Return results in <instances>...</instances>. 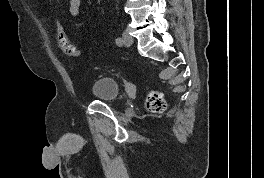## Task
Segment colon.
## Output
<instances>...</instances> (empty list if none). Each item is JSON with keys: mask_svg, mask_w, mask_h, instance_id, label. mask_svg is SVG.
I'll use <instances>...</instances> for the list:
<instances>
[{"mask_svg": "<svg viewBox=\"0 0 264 178\" xmlns=\"http://www.w3.org/2000/svg\"><path fill=\"white\" fill-rule=\"evenodd\" d=\"M56 39L62 52L70 57H78L80 50L69 40L64 28L57 19L53 20ZM146 107L153 112H162L166 109L167 104L163 94L158 91H151L146 100Z\"/></svg>", "mask_w": 264, "mask_h": 178, "instance_id": "obj_1", "label": "colon"}]
</instances>
